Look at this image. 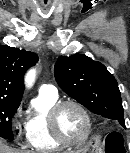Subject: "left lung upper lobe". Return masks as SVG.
I'll list each match as a JSON object with an SVG mask.
<instances>
[{
	"instance_id": "obj_1",
	"label": "left lung upper lobe",
	"mask_w": 130,
	"mask_h": 153,
	"mask_svg": "<svg viewBox=\"0 0 130 153\" xmlns=\"http://www.w3.org/2000/svg\"><path fill=\"white\" fill-rule=\"evenodd\" d=\"M58 85L93 113L125 126L118 83L98 61L76 54L61 57L54 66Z\"/></svg>"
}]
</instances>
